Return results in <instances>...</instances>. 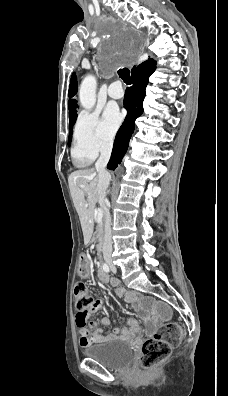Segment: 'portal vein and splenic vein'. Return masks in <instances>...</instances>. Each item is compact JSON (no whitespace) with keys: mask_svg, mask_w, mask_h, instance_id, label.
<instances>
[{"mask_svg":"<svg viewBox=\"0 0 228 396\" xmlns=\"http://www.w3.org/2000/svg\"><path fill=\"white\" fill-rule=\"evenodd\" d=\"M102 218H103V211L101 209H98L96 212V221L97 223L102 222Z\"/></svg>","mask_w":228,"mask_h":396,"instance_id":"18ae733b","label":"portal vein and splenic vein"}]
</instances>
